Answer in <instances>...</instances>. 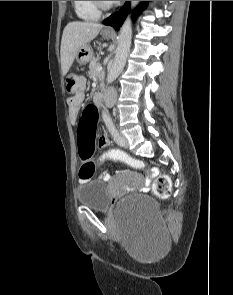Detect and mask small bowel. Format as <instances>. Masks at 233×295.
<instances>
[{"label": "small bowel", "instance_id": "1", "mask_svg": "<svg viewBox=\"0 0 233 295\" xmlns=\"http://www.w3.org/2000/svg\"><path fill=\"white\" fill-rule=\"evenodd\" d=\"M83 101H84V95L83 94L79 95V96H77L75 98H69L68 99L67 103H68V106H69V117H70L71 121L74 122L78 118L81 107H82V104H83ZM86 110L96 113V110L94 109V107H88ZM108 144H109V140H108L107 137L102 136L99 139V146L100 147H106ZM102 179L105 180V181H108V180H110V175L107 172H105V173L102 174ZM147 190H148V187L143 188V191H147Z\"/></svg>", "mask_w": 233, "mask_h": 295}]
</instances>
